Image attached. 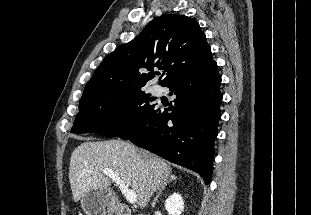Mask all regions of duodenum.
Instances as JSON below:
<instances>
[{"instance_id":"410a0bca","label":"duodenum","mask_w":311,"mask_h":215,"mask_svg":"<svg viewBox=\"0 0 311 215\" xmlns=\"http://www.w3.org/2000/svg\"><path fill=\"white\" fill-rule=\"evenodd\" d=\"M115 215H132L130 209L125 205H119L116 207L114 211ZM138 215H145V214H138Z\"/></svg>"}]
</instances>
